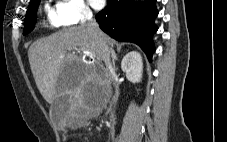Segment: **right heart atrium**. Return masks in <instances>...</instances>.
I'll return each instance as SVG.
<instances>
[{
    "label": "right heart atrium",
    "mask_w": 227,
    "mask_h": 142,
    "mask_svg": "<svg viewBox=\"0 0 227 142\" xmlns=\"http://www.w3.org/2000/svg\"><path fill=\"white\" fill-rule=\"evenodd\" d=\"M55 13L60 24L65 26L84 24L93 17L83 0H58Z\"/></svg>",
    "instance_id": "obj_1"
}]
</instances>
